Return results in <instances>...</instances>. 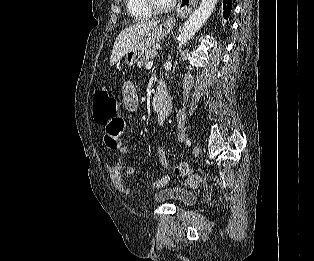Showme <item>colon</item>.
<instances>
[{
	"label": "colon",
	"mask_w": 314,
	"mask_h": 261,
	"mask_svg": "<svg viewBox=\"0 0 314 261\" xmlns=\"http://www.w3.org/2000/svg\"><path fill=\"white\" fill-rule=\"evenodd\" d=\"M94 119L96 123L104 125L105 120H111V116H120L118 113L117 97L101 89L94 94ZM175 173L182 176H190V170L183 165H178L175 168Z\"/></svg>",
	"instance_id": "1"
}]
</instances>
